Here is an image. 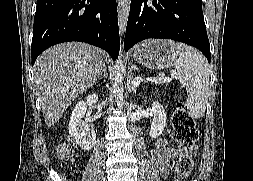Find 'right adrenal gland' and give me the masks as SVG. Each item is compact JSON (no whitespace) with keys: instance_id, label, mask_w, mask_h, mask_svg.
<instances>
[{"instance_id":"obj_1","label":"right adrenal gland","mask_w":253,"mask_h":181,"mask_svg":"<svg viewBox=\"0 0 253 181\" xmlns=\"http://www.w3.org/2000/svg\"><path fill=\"white\" fill-rule=\"evenodd\" d=\"M102 74H103L104 76H106V75H107V68H106V67L104 68V70H103V73H102ZM102 74H101V75H102Z\"/></svg>"}]
</instances>
